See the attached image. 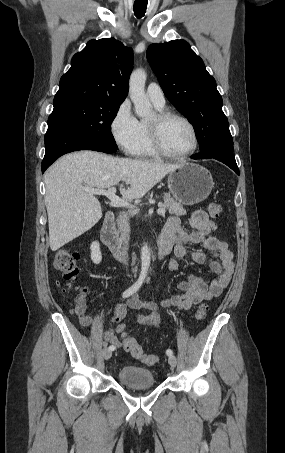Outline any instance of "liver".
<instances>
[{"label": "liver", "mask_w": 285, "mask_h": 453, "mask_svg": "<svg viewBox=\"0 0 285 453\" xmlns=\"http://www.w3.org/2000/svg\"><path fill=\"white\" fill-rule=\"evenodd\" d=\"M178 166L94 151L61 157L44 176L51 250H58L101 219L98 199L84 188L106 189L123 181L130 185L120 187L123 198L139 199Z\"/></svg>", "instance_id": "6515ba94"}]
</instances>
